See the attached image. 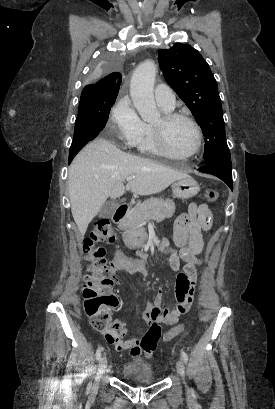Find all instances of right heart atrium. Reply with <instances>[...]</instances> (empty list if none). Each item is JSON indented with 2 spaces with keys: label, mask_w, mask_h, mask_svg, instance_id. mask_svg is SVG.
I'll return each instance as SVG.
<instances>
[{
  "label": "right heart atrium",
  "mask_w": 275,
  "mask_h": 409,
  "mask_svg": "<svg viewBox=\"0 0 275 409\" xmlns=\"http://www.w3.org/2000/svg\"><path fill=\"white\" fill-rule=\"evenodd\" d=\"M110 123L114 130L112 143H126L127 151L131 152L141 132L142 121L127 99H122L113 107Z\"/></svg>",
  "instance_id": "right-heart-atrium-1"
}]
</instances>
